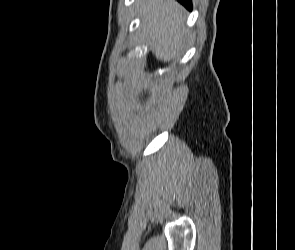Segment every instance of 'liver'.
<instances>
[{
  "label": "liver",
  "instance_id": "obj_1",
  "mask_svg": "<svg viewBox=\"0 0 295 250\" xmlns=\"http://www.w3.org/2000/svg\"><path fill=\"white\" fill-rule=\"evenodd\" d=\"M139 4L141 26L153 54L164 62L178 56L187 33L183 7L175 0H142Z\"/></svg>",
  "mask_w": 295,
  "mask_h": 250
}]
</instances>
